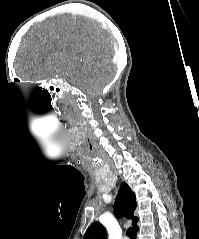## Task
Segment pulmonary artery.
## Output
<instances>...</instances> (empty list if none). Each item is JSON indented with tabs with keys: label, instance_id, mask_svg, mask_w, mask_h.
Listing matches in <instances>:
<instances>
[{
	"label": "pulmonary artery",
	"instance_id": "obj_1",
	"mask_svg": "<svg viewBox=\"0 0 199 239\" xmlns=\"http://www.w3.org/2000/svg\"><path fill=\"white\" fill-rule=\"evenodd\" d=\"M123 239H128V237H124Z\"/></svg>",
	"mask_w": 199,
	"mask_h": 239
}]
</instances>
